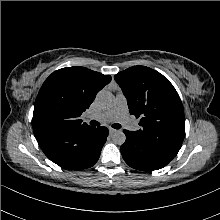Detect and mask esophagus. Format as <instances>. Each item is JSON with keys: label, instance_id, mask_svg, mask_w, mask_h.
I'll return each instance as SVG.
<instances>
[{"label": "esophagus", "instance_id": "esophagus-1", "mask_svg": "<svg viewBox=\"0 0 220 220\" xmlns=\"http://www.w3.org/2000/svg\"><path fill=\"white\" fill-rule=\"evenodd\" d=\"M117 130H115V129H113V128H109V133L110 134H113V133H115Z\"/></svg>", "mask_w": 220, "mask_h": 220}]
</instances>
